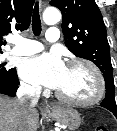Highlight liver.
<instances>
[{
  "label": "liver",
  "instance_id": "1",
  "mask_svg": "<svg viewBox=\"0 0 117 131\" xmlns=\"http://www.w3.org/2000/svg\"><path fill=\"white\" fill-rule=\"evenodd\" d=\"M37 110L23 109L18 100L0 95V131H36Z\"/></svg>",
  "mask_w": 117,
  "mask_h": 131
}]
</instances>
